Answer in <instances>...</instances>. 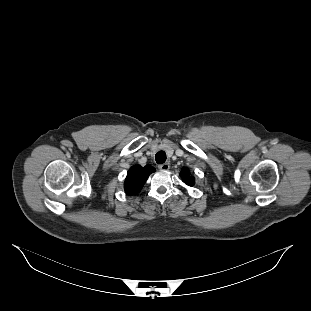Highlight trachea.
<instances>
[{"label": "trachea", "mask_w": 311, "mask_h": 311, "mask_svg": "<svg viewBox=\"0 0 311 311\" xmlns=\"http://www.w3.org/2000/svg\"><path fill=\"white\" fill-rule=\"evenodd\" d=\"M166 153L164 151H159L155 155V160L158 164H162L166 161Z\"/></svg>", "instance_id": "trachea-1"}]
</instances>
